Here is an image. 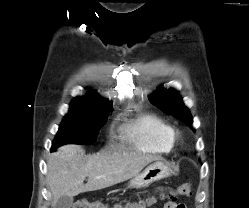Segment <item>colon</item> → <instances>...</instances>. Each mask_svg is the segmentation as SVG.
Segmentation results:
<instances>
[{"instance_id": "obj_1", "label": "colon", "mask_w": 249, "mask_h": 208, "mask_svg": "<svg viewBox=\"0 0 249 208\" xmlns=\"http://www.w3.org/2000/svg\"><path fill=\"white\" fill-rule=\"evenodd\" d=\"M190 193H191L190 183L182 184L175 191V195H182V196H188L190 195ZM153 203H154L153 198L140 199L136 201H128L125 204L114 203L111 205H108L100 201L91 202L87 200H80L76 202L72 208H148ZM180 208H185V205L181 204Z\"/></svg>"}]
</instances>
